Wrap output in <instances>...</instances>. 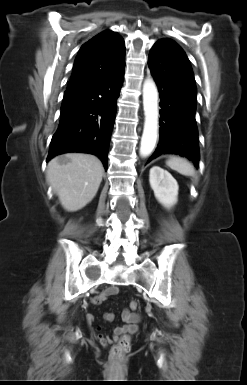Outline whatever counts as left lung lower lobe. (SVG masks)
Segmentation results:
<instances>
[{"label":"left lung lower lobe","mask_w":247,"mask_h":385,"mask_svg":"<svg viewBox=\"0 0 247 385\" xmlns=\"http://www.w3.org/2000/svg\"><path fill=\"white\" fill-rule=\"evenodd\" d=\"M148 65L161 99L159 144L148 162L161 154L174 153L189 158L197 167V90L189 59L178 44L163 39L151 48Z\"/></svg>","instance_id":"left-lung-lower-lobe-1"}]
</instances>
